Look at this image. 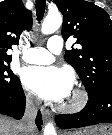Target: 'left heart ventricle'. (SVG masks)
I'll return each instance as SVG.
<instances>
[{"mask_svg":"<svg viewBox=\"0 0 112 135\" xmlns=\"http://www.w3.org/2000/svg\"><path fill=\"white\" fill-rule=\"evenodd\" d=\"M73 98H74L73 93H71V94L65 99L64 103H70V102H72V101H73Z\"/></svg>","mask_w":112,"mask_h":135,"instance_id":"1","label":"left heart ventricle"}]
</instances>
